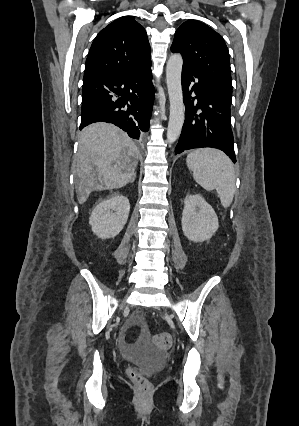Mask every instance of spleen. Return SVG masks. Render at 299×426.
<instances>
[{"label": "spleen", "mask_w": 299, "mask_h": 426, "mask_svg": "<svg viewBox=\"0 0 299 426\" xmlns=\"http://www.w3.org/2000/svg\"><path fill=\"white\" fill-rule=\"evenodd\" d=\"M188 168L204 189H216L221 204L229 207L235 192V173L231 160L216 149H197L188 154Z\"/></svg>", "instance_id": "3e777b00"}]
</instances>
